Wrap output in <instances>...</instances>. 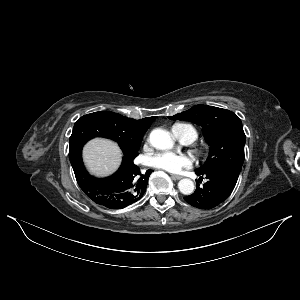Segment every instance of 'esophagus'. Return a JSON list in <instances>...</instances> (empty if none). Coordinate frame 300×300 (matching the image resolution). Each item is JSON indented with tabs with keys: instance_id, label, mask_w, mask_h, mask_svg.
Returning a JSON list of instances; mask_svg holds the SVG:
<instances>
[{
	"instance_id": "obj_1",
	"label": "esophagus",
	"mask_w": 300,
	"mask_h": 300,
	"mask_svg": "<svg viewBox=\"0 0 300 300\" xmlns=\"http://www.w3.org/2000/svg\"><path fill=\"white\" fill-rule=\"evenodd\" d=\"M171 177H172L174 180H180V179L183 178V177L180 176V175H172Z\"/></svg>"
}]
</instances>
